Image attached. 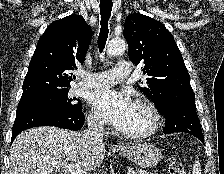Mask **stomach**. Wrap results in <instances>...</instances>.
Returning <instances> with one entry per match:
<instances>
[{
  "label": "stomach",
  "mask_w": 224,
  "mask_h": 174,
  "mask_svg": "<svg viewBox=\"0 0 224 174\" xmlns=\"http://www.w3.org/2000/svg\"><path fill=\"white\" fill-rule=\"evenodd\" d=\"M120 153L142 168L153 167L162 159L159 148L151 143H138L121 150Z\"/></svg>",
  "instance_id": "obj_1"
}]
</instances>
